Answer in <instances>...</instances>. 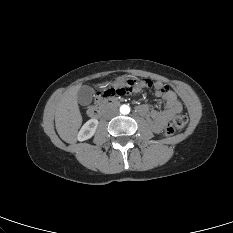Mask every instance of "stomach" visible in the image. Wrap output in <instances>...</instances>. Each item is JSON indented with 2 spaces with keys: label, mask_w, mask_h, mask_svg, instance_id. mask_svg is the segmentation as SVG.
Wrapping results in <instances>:
<instances>
[{
  "label": "stomach",
  "mask_w": 233,
  "mask_h": 233,
  "mask_svg": "<svg viewBox=\"0 0 233 233\" xmlns=\"http://www.w3.org/2000/svg\"><path fill=\"white\" fill-rule=\"evenodd\" d=\"M132 82H133V79L128 74H125L123 76L116 75L111 80L112 85L116 88H120L122 86L128 87L132 84Z\"/></svg>",
  "instance_id": "1"
}]
</instances>
